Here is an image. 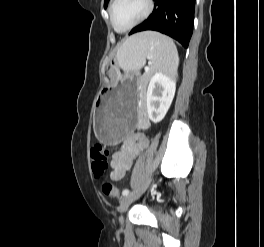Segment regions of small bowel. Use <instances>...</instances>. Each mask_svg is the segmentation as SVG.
<instances>
[{"mask_svg":"<svg viewBox=\"0 0 264 247\" xmlns=\"http://www.w3.org/2000/svg\"><path fill=\"white\" fill-rule=\"evenodd\" d=\"M149 125V119L142 114L138 120L137 130L129 133L119 149L113 153L110 161V177L112 180L119 181L123 179L140 152L147 146L148 141L143 130L148 128Z\"/></svg>","mask_w":264,"mask_h":247,"instance_id":"c3829d8e","label":"small bowel"}]
</instances>
